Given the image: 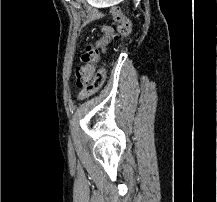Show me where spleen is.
<instances>
[{
    "instance_id": "obj_1",
    "label": "spleen",
    "mask_w": 217,
    "mask_h": 202,
    "mask_svg": "<svg viewBox=\"0 0 217 202\" xmlns=\"http://www.w3.org/2000/svg\"><path fill=\"white\" fill-rule=\"evenodd\" d=\"M86 4L94 7H109V5H120V0H87Z\"/></svg>"
}]
</instances>
